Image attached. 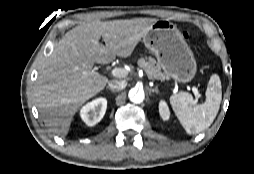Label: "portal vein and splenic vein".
I'll return each mask as SVG.
<instances>
[{
  "instance_id": "1",
  "label": "portal vein and splenic vein",
  "mask_w": 254,
  "mask_h": 174,
  "mask_svg": "<svg viewBox=\"0 0 254 174\" xmlns=\"http://www.w3.org/2000/svg\"><path fill=\"white\" fill-rule=\"evenodd\" d=\"M111 75H113L114 77H118V78H124L128 75V71L125 70L124 68H114L111 70ZM192 91L195 95V98H196L195 103H196L200 97V94H199L196 87H193Z\"/></svg>"
}]
</instances>
